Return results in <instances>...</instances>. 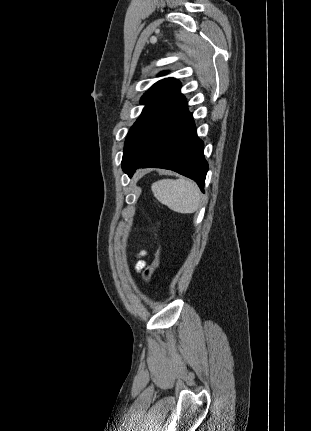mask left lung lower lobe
<instances>
[{"instance_id":"1","label":"left lung lower lobe","mask_w":311,"mask_h":431,"mask_svg":"<svg viewBox=\"0 0 311 431\" xmlns=\"http://www.w3.org/2000/svg\"><path fill=\"white\" fill-rule=\"evenodd\" d=\"M203 150L186 98L178 92L124 151L122 169L129 176L137 168L170 169L193 179L204 191L208 163Z\"/></svg>"}]
</instances>
